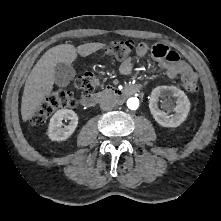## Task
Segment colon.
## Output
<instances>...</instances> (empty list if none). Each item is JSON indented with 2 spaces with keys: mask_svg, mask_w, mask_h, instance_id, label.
<instances>
[{
  "mask_svg": "<svg viewBox=\"0 0 221 221\" xmlns=\"http://www.w3.org/2000/svg\"><path fill=\"white\" fill-rule=\"evenodd\" d=\"M136 44L133 40H121L112 43L107 47L106 53L116 59L125 60L130 57L135 50ZM183 86L188 92L198 90V80L194 73L183 76ZM96 83V78L92 73H85L78 77L76 86L85 93L91 92ZM76 104L74 95L65 90H58L50 93L40 104L31 117V123L35 126L42 125L47 118L56 110L73 107Z\"/></svg>",
  "mask_w": 221,
  "mask_h": 221,
  "instance_id": "5ec220e1",
  "label": "colon"
}]
</instances>
